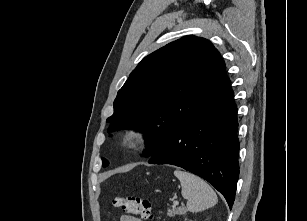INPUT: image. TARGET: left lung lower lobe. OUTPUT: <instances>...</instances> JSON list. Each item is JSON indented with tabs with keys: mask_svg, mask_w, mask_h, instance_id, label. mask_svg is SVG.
<instances>
[{
	"mask_svg": "<svg viewBox=\"0 0 307 221\" xmlns=\"http://www.w3.org/2000/svg\"><path fill=\"white\" fill-rule=\"evenodd\" d=\"M230 85L182 125L150 159L172 164L212 184L233 206L239 176L237 107Z\"/></svg>",
	"mask_w": 307,
	"mask_h": 221,
	"instance_id": "0a47b994",
	"label": "left lung lower lobe"
}]
</instances>
